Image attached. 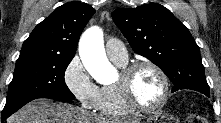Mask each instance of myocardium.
<instances>
[{
  "label": "myocardium",
  "instance_id": "f54148a6",
  "mask_svg": "<svg viewBox=\"0 0 221 123\" xmlns=\"http://www.w3.org/2000/svg\"><path fill=\"white\" fill-rule=\"evenodd\" d=\"M142 68H151L160 77L162 82V94L160 99L151 106L140 104L133 96L131 90V79L133 75ZM116 88L128 108L138 112H152L160 109L167 101L170 93L169 79L164 70L151 61H140L124 67L120 74V80L116 83Z\"/></svg>",
  "mask_w": 221,
  "mask_h": 123
}]
</instances>
